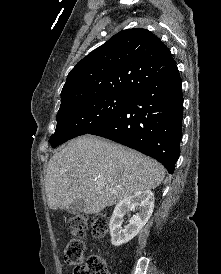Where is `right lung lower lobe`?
Wrapping results in <instances>:
<instances>
[{"mask_svg":"<svg viewBox=\"0 0 221 274\" xmlns=\"http://www.w3.org/2000/svg\"><path fill=\"white\" fill-rule=\"evenodd\" d=\"M182 81L177 66L147 84L89 134L108 138L162 163L173 173L182 137Z\"/></svg>","mask_w":221,"mask_h":274,"instance_id":"obj_1","label":"right lung lower lobe"}]
</instances>
